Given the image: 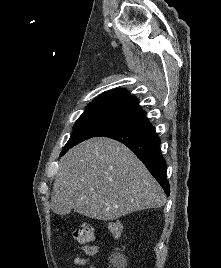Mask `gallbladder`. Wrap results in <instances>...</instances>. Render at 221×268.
Instances as JSON below:
<instances>
[{
  "instance_id": "1",
  "label": "gallbladder",
  "mask_w": 221,
  "mask_h": 268,
  "mask_svg": "<svg viewBox=\"0 0 221 268\" xmlns=\"http://www.w3.org/2000/svg\"><path fill=\"white\" fill-rule=\"evenodd\" d=\"M69 202L68 199H57L56 202H53V205H51V210H53L54 213H58L59 217H66L67 213H70V208H68Z\"/></svg>"
}]
</instances>
